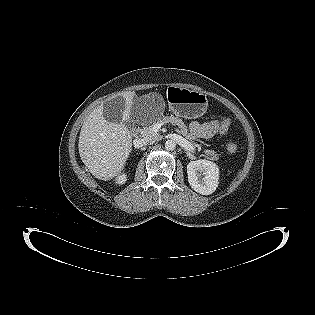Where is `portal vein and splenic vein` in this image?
I'll use <instances>...</instances> for the list:
<instances>
[{
    "label": "portal vein and splenic vein",
    "mask_w": 315,
    "mask_h": 315,
    "mask_svg": "<svg viewBox=\"0 0 315 315\" xmlns=\"http://www.w3.org/2000/svg\"><path fill=\"white\" fill-rule=\"evenodd\" d=\"M161 127V124H155L153 127V131L157 132Z\"/></svg>",
    "instance_id": "18ae733b"
}]
</instances>
